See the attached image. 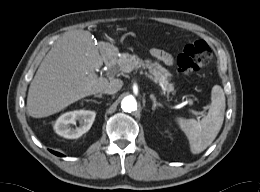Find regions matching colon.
<instances>
[{"label": "colon", "mask_w": 260, "mask_h": 192, "mask_svg": "<svg viewBox=\"0 0 260 192\" xmlns=\"http://www.w3.org/2000/svg\"><path fill=\"white\" fill-rule=\"evenodd\" d=\"M211 58V50L203 40L188 44L178 56L177 65L184 75H190L206 65Z\"/></svg>", "instance_id": "1"}]
</instances>
